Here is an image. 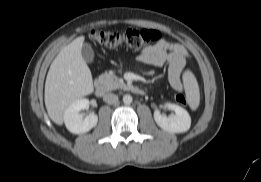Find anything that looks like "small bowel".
<instances>
[{"mask_svg":"<svg viewBox=\"0 0 261 182\" xmlns=\"http://www.w3.org/2000/svg\"><path fill=\"white\" fill-rule=\"evenodd\" d=\"M137 58L139 62L146 65H167L170 85L177 91L183 90L181 76L187 69L188 54L181 44L161 39L142 49Z\"/></svg>","mask_w":261,"mask_h":182,"instance_id":"1","label":"small bowel"}]
</instances>
